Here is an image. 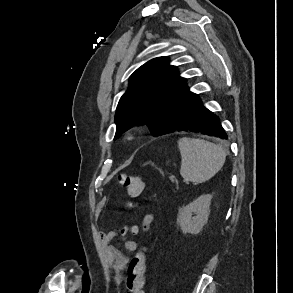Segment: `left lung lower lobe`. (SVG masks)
<instances>
[{
	"label": "left lung lower lobe",
	"instance_id": "1",
	"mask_svg": "<svg viewBox=\"0 0 293 293\" xmlns=\"http://www.w3.org/2000/svg\"><path fill=\"white\" fill-rule=\"evenodd\" d=\"M174 131H193L228 138L219 118L204 107L199 98L186 107Z\"/></svg>",
	"mask_w": 293,
	"mask_h": 293
}]
</instances>
